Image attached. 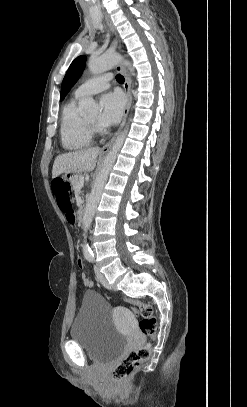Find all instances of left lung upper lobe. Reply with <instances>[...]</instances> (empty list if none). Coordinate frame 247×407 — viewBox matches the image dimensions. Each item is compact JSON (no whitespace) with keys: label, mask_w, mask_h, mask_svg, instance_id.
I'll list each match as a JSON object with an SVG mask.
<instances>
[{"label":"left lung upper lobe","mask_w":247,"mask_h":407,"mask_svg":"<svg viewBox=\"0 0 247 407\" xmlns=\"http://www.w3.org/2000/svg\"><path fill=\"white\" fill-rule=\"evenodd\" d=\"M86 56L77 57L70 65L61 86V100L65 98L70 89L80 78L85 68Z\"/></svg>","instance_id":"obj_1"}]
</instances>
